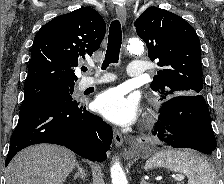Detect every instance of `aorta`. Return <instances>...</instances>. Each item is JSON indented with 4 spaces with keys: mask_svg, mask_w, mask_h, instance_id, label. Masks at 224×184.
Segmentation results:
<instances>
[{
    "mask_svg": "<svg viewBox=\"0 0 224 184\" xmlns=\"http://www.w3.org/2000/svg\"><path fill=\"white\" fill-rule=\"evenodd\" d=\"M126 48L129 52L134 54L142 53L144 51L142 41L137 38L130 39L126 44ZM111 179L112 184H128L126 175L119 162H115L111 167Z\"/></svg>",
    "mask_w": 224,
    "mask_h": 184,
    "instance_id": "762f6f07",
    "label": "aorta"
}]
</instances>
